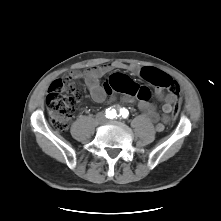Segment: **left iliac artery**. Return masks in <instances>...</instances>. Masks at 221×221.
I'll list each match as a JSON object with an SVG mask.
<instances>
[{
	"label": "left iliac artery",
	"mask_w": 221,
	"mask_h": 221,
	"mask_svg": "<svg viewBox=\"0 0 221 221\" xmlns=\"http://www.w3.org/2000/svg\"><path fill=\"white\" fill-rule=\"evenodd\" d=\"M128 110L127 109H122L120 115H122L123 118H127L128 117ZM119 116V115H117Z\"/></svg>",
	"instance_id": "1"
}]
</instances>
